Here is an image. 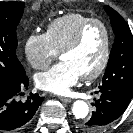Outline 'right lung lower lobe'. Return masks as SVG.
Listing matches in <instances>:
<instances>
[{
	"mask_svg": "<svg viewBox=\"0 0 133 133\" xmlns=\"http://www.w3.org/2000/svg\"><path fill=\"white\" fill-rule=\"evenodd\" d=\"M29 79L25 70L12 83L0 84V130L12 131L24 128L44 100L37 93L20 100L22 91L28 89Z\"/></svg>",
	"mask_w": 133,
	"mask_h": 133,
	"instance_id": "1",
	"label": "right lung lower lobe"
}]
</instances>
